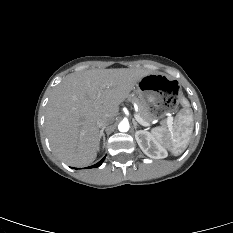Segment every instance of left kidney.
Masks as SVG:
<instances>
[{
    "mask_svg": "<svg viewBox=\"0 0 233 233\" xmlns=\"http://www.w3.org/2000/svg\"><path fill=\"white\" fill-rule=\"evenodd\" d=\"M135 139L141 150L148 157L162 159L167 157V150L153 137L150 132L140 130L135 133Z\"/></svg>",
    "mask_w": 233,
    "mask_h": 233,
    "instance_id": "5707ae66",
    "label": "left kidney"
}]
</instances>
